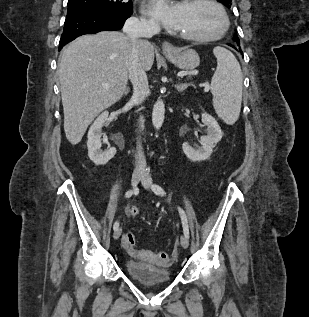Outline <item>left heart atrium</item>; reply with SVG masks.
Here are the masks:
<instances>
[{
  "label": "left heart atrium",
  "instance_id": "1",
  "mask_svg": "<svg viewBox=\"0 0 309 317\" xmlns=\"http://www.w3.org/2000/svg\"><path fill=\"white\" fill-rule=\"evenodd\" d=\"M182 6L183 3H172L169 0H152L148 6V13L165 27L177 29Z\"/></svg>",
  "mask_w": 309,
  "mask_h": 317
}]
</instances>
